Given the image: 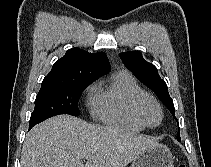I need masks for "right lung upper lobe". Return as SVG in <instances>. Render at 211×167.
Returning a JSON list of instances; mask_svg holds the SVG:
<instances>
[{
    "label": "right lung upper lobe",
    "mask_w": 211,
    "mask_h": 167,
    "mask_svg": "<svg viewBox=\"0 0 211 167\" xmlns=\"http://www.w3.org/2000/svg\"><path fill=\"white\" fill-rule=\"evenodd\" d=\"M110 70V63L104 52L88 53L80 48H72L54 63L41 86H60L95 80Z\"/></svg>",
    "instance_id": "right-lung-upper-lobe-1"
}]
</instances>
